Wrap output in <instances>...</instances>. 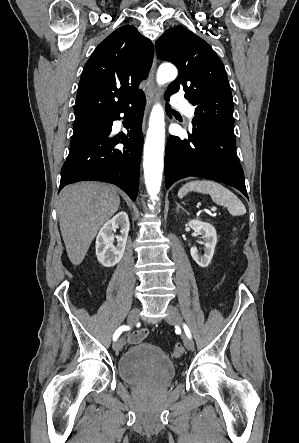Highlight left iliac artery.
Masks as SVG:
<instances>
[{"label": "left iliac artery", "instance_id": "obj_1", "mask_svg": "<svg viewBox=\"0 0 299 443\" xmlns=\"http://www.w3.org/2000/svg\"><path fill=\"white\" fill-rule=\"evenodd\" d=\"M184 331H185L186 335L191 338V332H190L188 326L185 324H184Z\"/></svg>", "mask_w": 299, "mask_h": 443}]
</instances>
